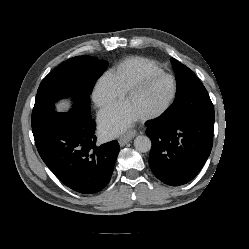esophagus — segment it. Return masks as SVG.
Segmentation results:
<instances>
[{
  "label": "esophagus",
  "instance_id": "esophagus-1",
  "mask_svg": "<svg viewBox=\"0 0 249 249\" xmlns=\"http://www.w3.org/2000/svg\"><path fill=\"white\" fill-rule=\"evenodd\" d=\"M135 135H136V131L132 130V131H129L128 133H126L125 135L121 136L119 138L120 146H124L126 143H128L130 140H132Z\"/></svg>",
  "mask_w": 249,
  "mask_h": 249
}]
</instances>
